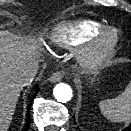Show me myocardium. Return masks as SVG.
<instances>
[{
    "label": "myocardium",
    "instance_id": "obj_1",
    "mask_svg": "<svg viewBox=\"0 0 131 131\" xmlns=\"http://www.w3.org/2000/svg\"><path fill=\"white\" fill-rule=\"evenodd\" d=\"M119 42V30L113 26H103L79 48L78 60L85 67L100 66L114 54Z\"/></svg>",
    "mask_w": 131,
    "mask_h": 131
}]
</instances>
